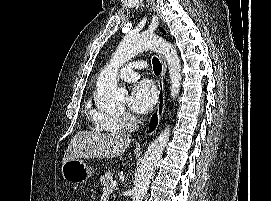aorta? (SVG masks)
I'll return each mask as SVG.
<instances>
[{
	"instance_id": "aorta-1",
	"label": "aorta",
	"mask_w": 271,
	"mask_h": 201,
	"mask_svg": "<svg viewBox=\"0 0 271 201\" xmlns=\"http://www.w3.org/2000/svg\"><path fill=\"white\" fill-rule=\"evenodd\" d=\"M145 50H155L165 56L169 70L171 98L174 100L179 95L182 79L181 62L175 48L153 33L127 34L117 47L104 76L97 83L95 102L98 108L105 109L123 105L127 92L117 86L118 68ZM169 135L170 128L167 127L149 145L135 179L132 190L133 201H143L157 162L169 140Z\"/></svg>"
}]
</instances>
